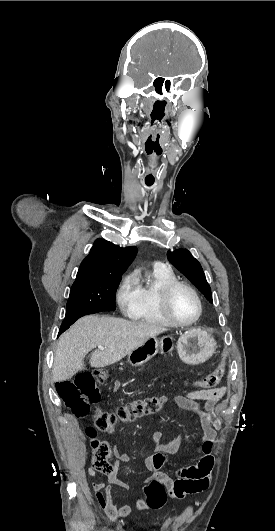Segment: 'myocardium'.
I'll list each match as a JSON object with an SVG mask.
<instances>
[{
	"instance_id": "obj_1",
	"label": "myocardium",
	"mask_w": 275,
	"mask_h": 531,
	"mask_svg": "<svg viewBox=\"0 0 275 531\" xmlns=\"http://www.w3.org/2000/svg\"><path fill=\"white\" fill-rule=\"evenodd\" d=\"M177 288H184V289L188 290L192 294V296L194 297V299H195V301L197 303V307H198L197 315L195 316L194 319H192L190 321L182 322V321L177 320L174 317V315L172 314L171 310H170V299H171V296H172L173 292ZM159 304H160L161 312L164 315V317L172 325H175V326H178V327H187V326L194 325L195 323H197L199 321V319L201 318L202 313H203L202 301H201L197 291L191 285H189L188 283L183 282V281H179V280H175V281L169 282V283H167L166 285H164L161 288Z\"/></svg>"
}]
</instances>
